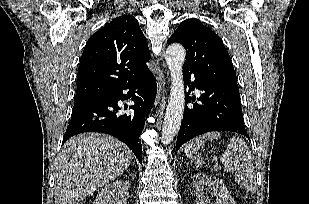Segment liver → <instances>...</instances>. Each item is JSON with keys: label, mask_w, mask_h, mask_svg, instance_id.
<instances>
[{"label": "liver", "mask_w": 309, "mask_h": 204, "mask_svg": "<svg viewBox=\"0 0 309 204\" xmlns=\"http://www.w3.org/2000/svg\"><path fill=\"white\" fill-rule=\"evenodd\" d=\"M132 159L131 150L109 135L83 133L70 138L55 164V204H80L121 175Z\"/></svg>", "instance_id": "liver-1"}]
</instances>
